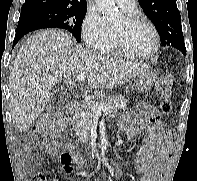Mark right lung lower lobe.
Masks as SVG:
<instances>
[{
	"mask_svg": "<svg viewBox=\"0 0 197 181\" xmlns=\"http://www.w3.org/2000/svg\"><path fill=\"white\" fill-rule=\"evenodd\" d=\"M44 28H53L52 25L39 20L37 18L29 17V16H20L18 26L16 29L15 38L13 41V47L16 43L27 33Z\"/></svg>",
	"mask_w": 197,
	"mask_h": 181,
	"instance_id": "1",
	"label": "right lung lower lobe"
}]
</instances>
